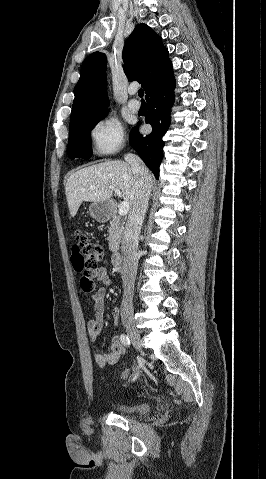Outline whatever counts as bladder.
I'll use <instances>...</instances> for the list:
<instances>
[{
    "label": "bladder",
    "mask_w": 266,
    "mask_h": 479,
    "mask_svg": "<svg viewBox=\"0 0 266 479\" xmlns=\"http://www.w3.org/2000/svg\"><path fill=\"white\" fill-rule=\"evenodd\" d=\"M114 408L125 414L147 413L150 410L149 404L145 402L117 404Z\"/></svg>",
    "instance_id": "obj_1"
}]
</instances>
